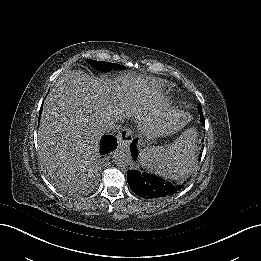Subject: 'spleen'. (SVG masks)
I'll return each mask as SVG.
<instances>
[{"label":"spleen","mask_w":261,"mask_h":261,"mask_svg":"<svg viewBox=\"0 0 261 261\" xmlns=\"http://www.w3.org/2000/svg\"><path fill=\"white\" fill-rule=\"evenodd\" d=\"M196 138V129H187L172 144L147 148L141 155L142 162L161 176L180 180L195 163Z\"/></svg>","instance_id":"3e777b00"}]
</instances>
